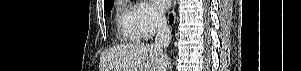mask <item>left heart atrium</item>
<instances>
[{
  "mask_svg": "<svg viewBox=\"0 0 301 71\" xmlns=\"http://www.w3.org/2000/svg\"><path fill=\"white\" fill-rule=\"evenodd\" d=\"M156 8L159 10H165L170 6V0H154Z\"/></svg>",
  "mask_w": 301,
  "mask_h": 71,
  "instance_id": "obj_1",
  "label": "left heart atrium"
}]
</instances>
